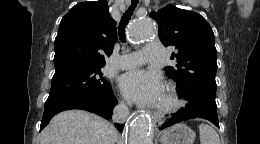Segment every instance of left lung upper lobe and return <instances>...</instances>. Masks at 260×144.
I'll list each match as a JSON object with an SVG mask.
<instances>
[{"label":"left lung upper lobe","instance_id":"left-lung-upper-lobe-1","mask_svg":"<svg viewBox=\"0 0 260 144\" xmlns=\"http://www.w3.org/2000/svg\"><path fill=\"white\" fill-rule=\"evenodd\" d=\"M150 17L159 27V38L165 46H175L171 59L174 66L164 68L168 77L177 82L180 96L188 100L184 109L202 104L216 106L217 51L214 33L206 20L198 13L167 5Z\"/></svg>","mask_w":260,"mask_h":144}]
</instances>
